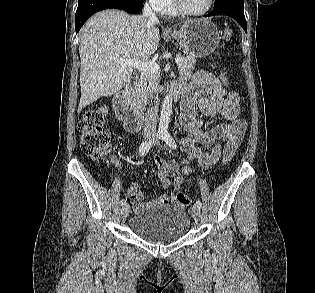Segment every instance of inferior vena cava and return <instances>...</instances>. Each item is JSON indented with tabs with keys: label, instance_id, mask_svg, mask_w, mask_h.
Returning <instances> with one entry per match:
<instances>
[{
	"label": "inferior vena cava",
	"instance_id": "602c4592",
	"mask_svg": "<svg viewBox=\"0 0 315 293\" xmlns=\"http://www.w3.org/2000/svg\"><path fill=\"white\" fill-rule=\"evenodd\" d=\"M143 17L146 19L148 27H153L156 23H158V18L148 3L144 6ZM158 105V99H156L154 101V105L150 106L145 115V124L143 128V133L145 135H155L158 118Z\"/></svg>",
	"mask_w": 315,
	"mask_h": 293
}]
</instances>
